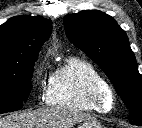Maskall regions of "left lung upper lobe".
<instances>
[{"instance_id":"obj_1","label":"left lung upper lobe","mask_w":142,"mask_h":128,"mask_svg":"<svg viewBox=\"0 0 142 128\" xmlns=\"http://www.w3.org/2000/svg\"><path fill=\"white\" fill-rule=\"evenodd\" d=\"M67 37L105 72L130 110L129 121L142 126V79L125 31L106 13L84 10L66 15Z\"/></svg>"}]
</instances>
